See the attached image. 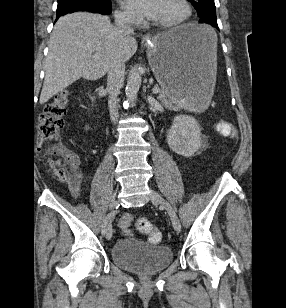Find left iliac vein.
Returning <instances> with one entry per match:
<instances>
[{"label": "left iliac vein", "mask_w": 286, "mask_h": 308, "mask_svg": "<svg viewBox=\"0 0 286 308\" xmlns=\"http://www.w3.org/2000/svg\"><path fill=\"white\" fill-rule=\"evenodd\" d=\"M150 198L151 201L153 203H158L160 204L169 214L171 221H172V225L175 229L176 232H180L181 230V225H180V221L179 218L175 212V210L173 209V207L171 206V204L166 201L160 194H158L155 190H151L150 192Z\"/></svg>", "instance_id": "1"}]
</instances>
